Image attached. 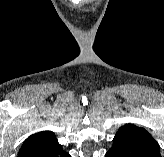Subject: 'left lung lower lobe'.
Returning <instances> with one entry per match:
<instances>
[{"label":"left lung lower lobe","instance_id":"obj_1","mask_svg":"<svg viewBox=\"0 0 164 157\" xmlns=\"http://www.w3.org/2000/svg\"><path fill=\"white\" fill-rule=\"evenodd\" d=\"M105 157H161L160 152L131 138L114 137L112 148Z\"/></svg>","mask_w":164,"mask_h":157}]
</instances>
